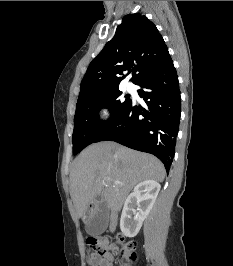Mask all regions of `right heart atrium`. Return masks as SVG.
Wrapping results in <instances>:
<instances>
[{"label":"right heart atrium","mask_w":233,"mask_h":266,"mask_svg":"<svg viewBox=\"0 0 233 266\" xmlns=\"http://www.w3.org/2000/svg\"><path fill=\"white\" fill-rule=\"evenodd\" d=\"M110 117V109L107 105H101L97 110V118L99 121L104 122Z\"/></svg>","instance_id":"1"}]
</instances>
